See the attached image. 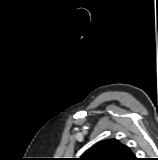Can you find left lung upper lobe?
Wrapping results in <instances>:
<instances>
[{
    "instance_id": "left-lung-upper-lobe-1",
    "label": "left lung upper lobe",
    "mask_w": 158,
    "mask_h": 160,
    "mask_svg": "<svg viewBox=\"0 0 158 160\" xmlns=\"http://www.w3.org/2000/svg\"><path fill=\"white\" fill-rule=\"evenodd\" d=\"M130 148L116 139L103 140L89 148L79 160H133Z\"/></svg>"
}]
</instances>
